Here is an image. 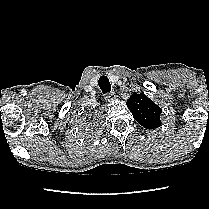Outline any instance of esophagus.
I'll return each mask as SVG.
<instances>
[{
    "mask_svg": "<svg viewBox=\"0 0 209 209\" xmlns=\"http://www.w3.org/2000/svg\"><path fill=\"white\" fill-rule=\"evenodd\" d=\"M116 94L114 93V92H112V93H107L106 95H105V99L107 100V101H113V100H115L116 99Z\"/></svg>",
    "mask_w": 209,
    "mask_h": 209,
    "instance_id": "esophagus-1",
    "label": "esophagus"
}]
</instances>
